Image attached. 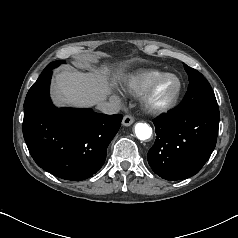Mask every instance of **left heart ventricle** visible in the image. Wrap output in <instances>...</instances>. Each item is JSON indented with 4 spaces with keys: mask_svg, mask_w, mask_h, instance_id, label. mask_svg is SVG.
Returning <instances> with one entry per match:
<instances>
[{
    "mask_svg": "<svg viewBox=\"0 0 238 238\" xmlns=\"http://www.w3.org/2000/svg\"><path fill=\"white\" fill-rule=\"evenodd\" d=\"M178 82L173 77L163 79L156 88L154 98L162 102L168 100L176 91Z\"/></svg>",
    "mask_w": 238,
    "mask_h": 238,
    "instance_id": "obj_1",
    "label": "left heart ventricle"
}]
</instances>
